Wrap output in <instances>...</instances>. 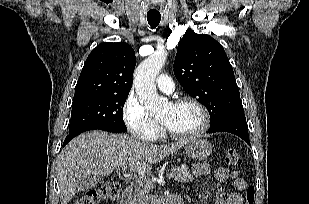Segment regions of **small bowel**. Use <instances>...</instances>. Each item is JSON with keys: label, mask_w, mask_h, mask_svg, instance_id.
Returning <instances> with one entry per match:
<instances>
[{"label": "small bowel", "mask_w": 309, "mask_h": 204, "mask_svg": "<svg viewBox=\"0 0 309 204\" xmlns=\"http://www.w3.org/2000/svg\"><path fill=\"white\" fill-rule=\"evenodd\" d=\"M195 170L201 174H206L209 171V166L202 164L197 166ZM214 175L219 186L215 204H244V191L247 188V183L238 171L221 166L215 170ZM228 181L232 182L235 188L234 192L227 193L221 188V185Z\"/></svg>", "instance_id": "1"}]
</instances>
